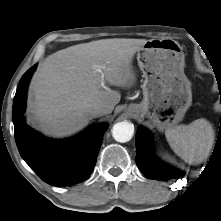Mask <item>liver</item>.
Returning a JSON list of instances; mask_svg holds the SVG:
<instances>
[{
  "label": "liver",
  "mask_w": 221,
  "mask_h": 221,
  "mask_svg": "<svg viewBox=\"0 0 221 221\" xmlns=\"http://www.w3.org/2000/svg\"><path fill=\"white\" fill-rule=\"evenodd\" d=\"M147 41L102 39L49 55L31 81L28 100L31 119L45 135L64 137L88 124L92 118L86 109L90 105H102L105 114L111 113L121 94L102 86L101 80L117 87L132 86L133 57Z\"/></svg>",
  "instance_id": "liver-1"
}]
</instances>
